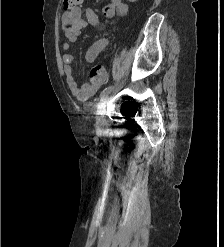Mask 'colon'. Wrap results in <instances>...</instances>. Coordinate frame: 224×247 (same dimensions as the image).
Listing matches in <instances>:
<instances>
[{
  "instance_id": "colon-1",
  "label": "colon",
  "mask_w": 224,
  "mask_h": 247,
  "mask_svg": "<svg viewBox=\"0 0 224 247\" xmlns=\"http://www.w3.org/2000/svg\"><path fill=\"white\" fill-rule=\"evenodd\" d=\"M83 0H63V8L66 11L72 10L73 8L79 6ZM91 80L93 83H101L106 79L105 68L100 65H94L90 71Z\"/></svg>"
}]
</instances>
